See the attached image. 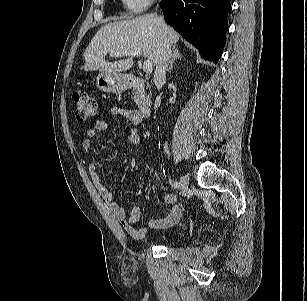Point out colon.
<instances>
[{"label":"colon","instance_id":"obj_1","mask_svg":"<svg viewBox=\"0 0 307 301\" xmlns=\"http://www.w3.org/2000/svg\"><path fill=\"white\" fill-rule=\"evenodd\" d=\"M73 104L75 116L80 121L95 116L97 112L96 99L85 92L75 93L73 95Z\"/></svg>","mask_w":307,"mask_h":301}]
</instances>
